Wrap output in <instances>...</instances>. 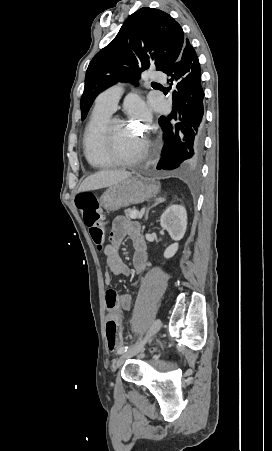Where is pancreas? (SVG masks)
Masks as SVG:
<instances>
[{
    "mask_svg": "<svg viewBox=\"0 0 272 451\" xmlns=\"http://www.w3.org/2000/svg\"><path fill=\"white\" fill-rule=\"evenodd\" d=\"M134 210H135V208H133V210H130V208H129V210H124V212L126 214V218H130V216H131L132 212H134Z\"/></svg>",
    "mask_w": 272,
    "mask_h": 451,
    "instance_id": "1",
    "label": "pancreas"
}]
</instances>
